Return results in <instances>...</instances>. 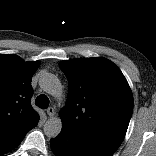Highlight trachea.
Returning a JSON list of instances; mask_svg holds the SVG:
<instances>
[{
    "mask_svg": "<svg viewBox=\"0 0 156 156\" xmlns=\"http://www.w3.org/2000/svg\"><path fill=\"white\" fill-rule=\"evenodd\" d=\"M35 104L42 109H46L49 106V99L46 95L41 94L36 98Z\"/></svg>",
    "mask_w": 156,
    "mask_h": 156,
    "instance_id": "3493384b",
    "label": "trachea"
}]
</instances>
